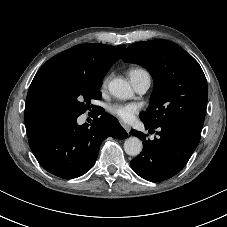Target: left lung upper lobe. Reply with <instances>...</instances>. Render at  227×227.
I'll use <instances>...</instances> for the list:
<instances>
[{
  "label": "left lung upper lobe",
  "instance_id": "1",
  "mask_svg": "<svg viewBox=\"0 0 227 227\" xmlns=\"http://www.w3.org/2000/svg\"><path fill=\"white\" fill-rule=\"evenodd\" d=\"M124 62L145 67L154 80L151 106L140 114L150 126L173 124L200 133L207 107V81L199 63L179 45L167 40L130 45Z\"/></svg>",
  "mask_w": 227,
  "mask_h": 227
}]
</instances>
